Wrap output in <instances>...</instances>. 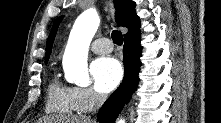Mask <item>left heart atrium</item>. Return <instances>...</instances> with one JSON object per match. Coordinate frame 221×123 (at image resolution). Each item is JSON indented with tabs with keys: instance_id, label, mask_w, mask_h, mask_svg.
Listing matches in <instances>:
<instances>
[{
	"instance_id": "left-heart-atrium-1",
	"label": "left heart atrium",
	"mask_w": 221,
	"mask_h": 123,
	"mask_svg": "<svg viewBox=\"0 0 221 123\" xmlns=\"http://www.w3.org/2000/svg\"><path fill=\"white\" fill-rule=\"evenodd\" d=\"M95 86L101 92L113 90L121 81L123 69L120 62L113 57L105 56L93 61L90 68Z\"/></svg>"
}]
</instances>
